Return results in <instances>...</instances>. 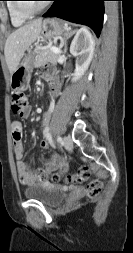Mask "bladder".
<instances>
[{
	"label": "bladder",
	"mask_w": 133,
	"mask_h": 253,
	"mask_svg": "<svg viewBox=\"0 0 133 253\" xmlns=\"http://www.w3.org/2000/svg\"><path fill=\"white\" fill-rule=\"evenodd\" d=\"M26 198L54 207L62 203L65 193L62 189L49 184H36L24 190Z\"/></svg>",
	"instance_id": "obj_1"
}]
</instances>
